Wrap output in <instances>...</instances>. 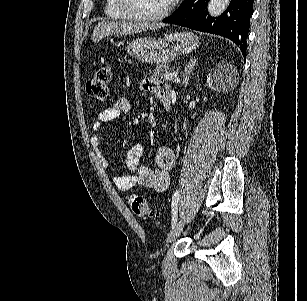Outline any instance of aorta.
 Masks as SVG:
<instances>
[{"mask_svg": "<svg viewBox=\"0 0 307 301\" xmlns=\"http://www.w3.org/2000/svg\"><path fill=\"white\" fill-rule=\"evenodd\" d=\"M230 0H209L208 12L211 16H219L226 10Z\"/></svg>", "mask_w": 307, "mask_h": 301, "instance_id": "aorta-1", "label": "aorta"}]
</instances>
